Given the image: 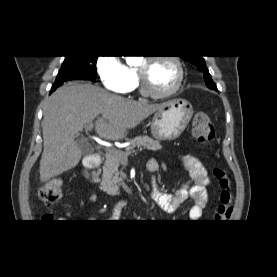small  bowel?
<instances>
[{
	"label": "small bowel",
	"mask_w": 277,
	"mask_h": 277,
	"mask_svg": "<svg viewBox=\"0 0 277 277\" xmlns=\"http://www.w3.org/2000/svg\"><path fill=\"white\" fill-rule=\"evenodd\" d=\"M182 166L188 171L193 184L189 182L182 183L173 194L160 191L153 182L152 198L166 211H175L184 201L191 198L194 205L189 210V218L198 220L201 218L204 208L208 204V186L210 179L203 163L196 157L187 155L181 159ZM147 169L151 173H155L159 169V163L156 159H149ZM91 203L97 201L96 196L92 195L89 199ZM125 205L119 202L114 208V216L117 217L118 212Z\"/></svg>",
	"instance_id": "small-bowel-1"
}]
</instances>
